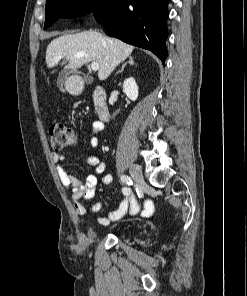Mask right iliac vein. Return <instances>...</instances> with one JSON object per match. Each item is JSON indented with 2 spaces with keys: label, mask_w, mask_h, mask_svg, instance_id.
I'll return each mask as SVG.
<instances>
[{
  "label": "right iliac vein",
  "mask_w": 247,
  "mask_h": 296,
  "mask_svg": "<svg viewBox=\"0 0 247 296\" xmlns=\"http://www.w3.org/2000/svg\"><path fill=\"white\" fill-rule=\"evenodd\" d=\"M130 174L132 178L137 182L140 188L145 185L141 168L137 164L130 165Z\"/></svg>",
  "instance_id": "obj_1"
}]
</instances>
